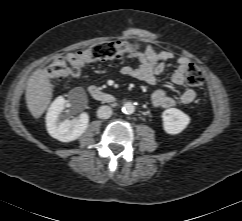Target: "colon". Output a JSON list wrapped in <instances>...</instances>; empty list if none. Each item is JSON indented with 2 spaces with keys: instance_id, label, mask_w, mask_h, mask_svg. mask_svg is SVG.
<instances>
[{
  "instance_id": "1",
  "label": "colon",
  "mask_w": 242,
  "mask_h": 221,
  "mask_svg": "<svg viewBox=\"0 0 242 221\" xmlns=\"http://www.w3.org/2000/svg\"><path fill=\"white\" fill-rule=\"evenodd\" d=\"M139 50L136 42L119 41L103 42L90 48L76 50L65 56L54 58L46 69L49 78L54 80L64 79L70 75H77L86 65L106 61L115 57L135 53ZM187 83L194 87H200L204 82V76L199 66L191 63L186 71Z\"/></svg>"
}]
</instances>
